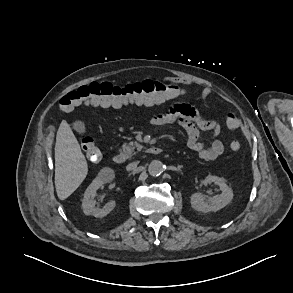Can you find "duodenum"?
Listing matches in <instances>:
<instances>
[{
    "label": "duodenum",
    "instance_id": "obj_1",
    "mask_svg": "<svg viewBox=\"0 0 293 293\" xmlns=\"http://www.w3.org/2000/svg\"><path fill=\"white\" fill-rule=\"evenodd\" d=\"M162 151H163V149L158 146H151V147L147 148V153H149L151 155H159L162 153ZM113 161L116 164H124L127 161V157L123 153H117L114 155Z\"/></svg>",
    "mask_w": 293,
    "mask_h": 293
}]
</instances>
